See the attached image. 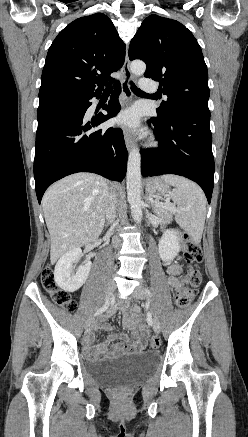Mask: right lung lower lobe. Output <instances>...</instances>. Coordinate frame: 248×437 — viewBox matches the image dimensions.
<instances>
[{
	"instance_id": "right-lung-lower-lobe-1",
	"label": "right lung lower lobe",
	"mask_w": 248,
	"mask_h": 437,
	"mask_svg": "<svg viewBox=\"0 0 248 437\" xmlns=\"http://www.w3.org/2000/svg\"><path fill=\"white\" fill-rule=\"evenodd\" d=\"M116 83L105 110L90 120L85 113L89 101L101 92L71 98H47L37 111L34 178L38 202L55 181L77 172H92L110 180L122 181L126 175L128 152L120 128L90 130L115 116L120 110Z\"/></svg>"
}]
</instances>
